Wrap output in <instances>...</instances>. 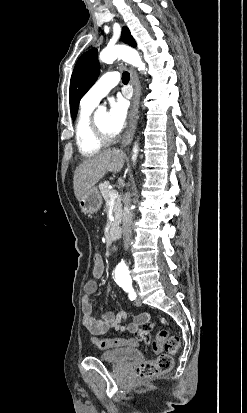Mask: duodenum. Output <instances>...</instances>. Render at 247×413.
<instances>
[{"mask_svg": "<svg viewBox=\"0 0 247 413\" xmlns=\"http://www.w3.org/2000/svg\"><path fill=\"white\" fill-rule=\"evenodd\" d=\"M118 236V227L116 225H112L107 234V239L109 242L113 243L117 239Z\"/></svg>", "mask_w": 247, "mask_h": 413, "instance_id": "410a0bca", "label": "duodenum"}]
</instances>
